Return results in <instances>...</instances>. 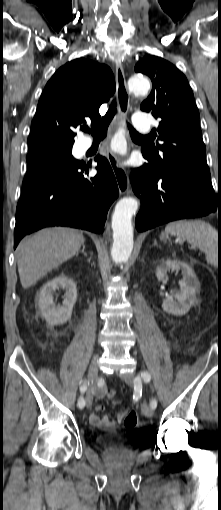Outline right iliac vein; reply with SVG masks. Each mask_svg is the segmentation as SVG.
<instances>
[{
	"label": "right iliac vein",
	"instance_id": "obj_1",
	"mask_svg": "<svg viewBox=\"0 0 221 510\" xmlns=\"http://www.w3.org/2000/svg\"><path fill=\"white\" fill-rule=\"evenodd\" d=\"M98 375V359L94 358L89 365L88 369V380H89V388L86 393V404L87 407L90 408L93 403V398L96 393V379Z\"/></svg>",
	"mask_w": 221,
	"mask_h": 510
}]
</instances>
